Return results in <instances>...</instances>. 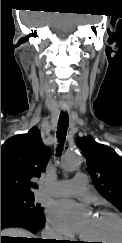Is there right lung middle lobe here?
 Segmentation results:
<instances>
[{
    "mask_svg": "<svg viewBox=\"0 0 122 243\" xmlns=\"http://www.w3.org/2000/svg\"><path fill=\"white\" fill-rule=\"evenodd\" d=\"M1 207H16L33 213H43L40 204H34L33 195L1 198Z\"/></svg>",
    "mask_w": 122,
    "mask_h": 243,
    "instance_id": "dd1d6c3e",
    "label": "right lung middle lobe"
}]
</instances>
